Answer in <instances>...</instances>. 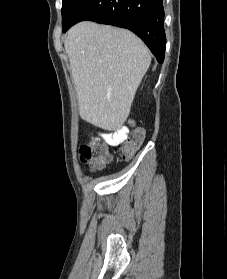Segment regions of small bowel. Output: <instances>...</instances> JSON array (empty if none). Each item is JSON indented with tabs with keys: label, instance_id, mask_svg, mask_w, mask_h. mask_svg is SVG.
<instances>
[{
	"label": "small bowel",
	"instance_id": "c3829d8e",
	"mask_svg": "<svg viewBox=\"0 0 227 279\" xmlns=\"http://www.w3.org/2000/svg\"><path fill=\"white\" fill-rule=\"evenodd\" d=\"M102 137L108 145L114 147L121 144L124 140L127 139L128 130L124 127L119 128L113 133H103Z\"/></svg>",
	"mask_w": 227,
	"mask_h": 279
}]
</instances>
